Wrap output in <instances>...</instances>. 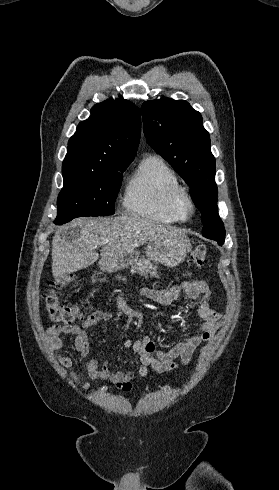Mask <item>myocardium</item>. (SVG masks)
Masks as SVG:
<instances>
[{
	"instance_id": "myocardium-1",
	"label": "myocardium",
	"mask_w": 279,
	"mask_h": 490,
	"mask_svg": "<svg viewBox=\"0 0 279 490\" xmlns=\"http://www.w3.org/2000/svg\"><path fill=\"white\" fill-rule=\"evenodd\" d=\"M183 203L187 204V211H183ZM169 207L180 221L191 218L195 210V204L190 189L180 184L170 194Z\"/></svg>"
}]
</instances>
